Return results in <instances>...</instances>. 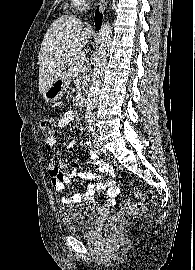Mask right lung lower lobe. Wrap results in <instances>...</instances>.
Returning a JSON list of instances; mask_svg holds the SVG:
<instances>
[{
  "mask_svg": "<svg viewBox=\"0 0 195 270\" xmlns=\"http://www.w3.org/2000/svg\"><path fill=\"white\" fill-rule=\"evenodd\" d=\"M102 14L99 13L98 8L95 13V26L97 29L101 27Z\"/></svg>",
  "mask_w": 195,
  "mask_h": 270,
  "instance_id": "obj_1",
  "label": "right lung lower lobe"
}]
</instances>
